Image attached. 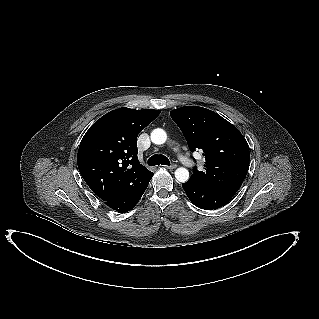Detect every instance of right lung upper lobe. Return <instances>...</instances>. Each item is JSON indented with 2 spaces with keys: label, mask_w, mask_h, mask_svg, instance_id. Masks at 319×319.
Returning <instances> with one entry per match:
<instances>
[{
  "label": "right lung upper lobe",
  "mask_w": 319,
  "mask_h": 319,
  "mask_svg": "<svg viewBox=\"0 0 319 319\" xmlns=\"http://www.w3.org/2000/svg\"><path fill=\"white\" fill-rule=\"evenodd\" d=\"M160 110L119 108L97 120L80 143L77 164L90 189L109 201L141 181L149 170L137 157V136Z\"/></svg>",
  "instance_id": "1"
}]
</instances>
